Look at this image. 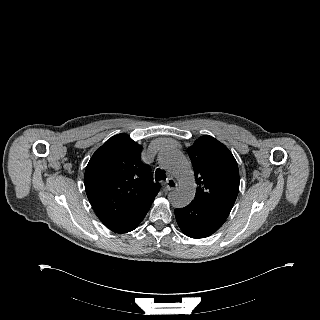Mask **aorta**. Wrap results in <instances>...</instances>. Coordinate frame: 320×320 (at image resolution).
Wrapping results in <instances>:
<instances>
[{
    "label": "aorta",
    "mask_w": 320,
    "mask_h": 320,
    "mask_svg": "<svg viewBox=\"0 0 320 320\" xmlns=\"http://www.w3.org/2000/svg\"><path fill=\"white\" fill-rule=\"evenodd\" d=\"M160 162L180 182L177 190L169 195L171 205L175 208L187 206L195 196L194 173L187 158L175 148H165L160 153Z\"/></svg>",
    "instance_id": "aorta-1"
}]
</instances>
